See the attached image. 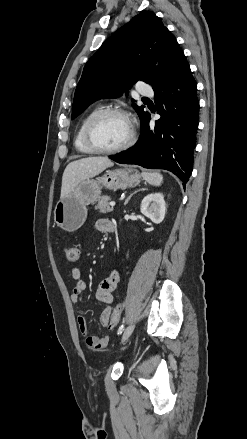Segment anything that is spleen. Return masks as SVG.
<instances>
[{"instance_id": "obj_1", "label": "spleen", "mask_w": 247, "mask_h": 439, "mask_svg": "<svg viewBox=\"0 0 247 439\" xmlns=\"http://www.w3.org/2000/svg\"><path fill=\"white\" fill-rule=\"evenodd\" d=\"M142 177L149 184L160 186L163 181V176L158 172H142Z\"/></svg>"}]
</instances>
